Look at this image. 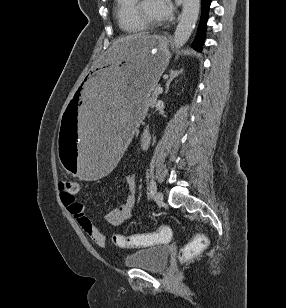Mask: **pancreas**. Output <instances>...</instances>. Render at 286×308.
<instances>
[{"label":"pancreas","instance_id":"pancreas-1","mask_svg":"<svg viewBox=\"0 0 286 308\" xmlns=\"http://www.w3.org/2000/svg\"><path fill=\"white\" fill-rule=\"evenodd\" d=\"M156 89L157 88H154L151 92V95L149 96L148 103H147V106L149 107H153L158 98V93L156 92Z\"/></svg>","mask_w":286,"mask_h":308}]
</instances>
